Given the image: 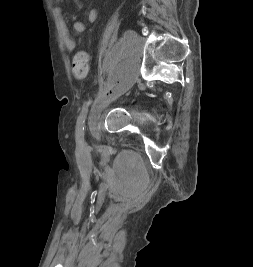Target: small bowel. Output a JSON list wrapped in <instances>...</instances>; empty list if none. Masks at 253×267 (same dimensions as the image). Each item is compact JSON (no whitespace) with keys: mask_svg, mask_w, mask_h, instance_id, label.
Masks as SVG:
<instances>
[{"mask_svg":"<svg viewBox=\"0 0 253 267\" xmlns=\"http://www.w3.org/2000/svg\"><path fill=\"white\" fill-rule=\"evenodd\" d=\"M55 13L58 18L59 30L63 45L68 51H74L76 48V42L72 37L69 28L63 18L61 8L56 7ZM87 19L90 23H94L97 19V11L95 9H90L87 13ZM86 28H87L86 25L81 21H74L72 23V29L78 35L84 34L86 32Z\"/></svg>","mask_w":253,"mask_h":267,"instance_id":"1","label":"small bowel"}]
</instances>
